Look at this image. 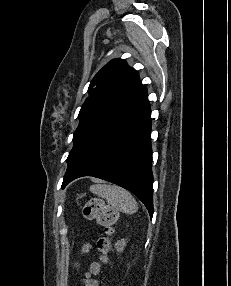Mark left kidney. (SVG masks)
Masks as SVG:
<instances>
[{"label":"left kidney","mask_w":231,"mask_h":286,"mask_svg":"<svg viewBox=\"0 0 231 286\" xmlns=\"http://www.w3.org/2000/svg\"><path fill=\"white\" fill-rule=\"evenodd\" d=\"M126 246V240L121 239L115 243V248L118 252H122Z\"/></svg>","instance_id":"1"}]
</instances>
